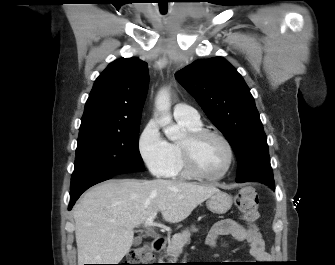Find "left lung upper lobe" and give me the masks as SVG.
<instances>
[{
  "label": "left lung upper lobe",
  "instance_id": "1",
  "mask_svg": "<svg viewBox=\"0 0 335 265\" xmlns=\"http://www.w3.org/2000/svg\"><path fill=\"white\" fill-rule=\"evenodd\" d=\"M176 79L194 96L211 122L232 146L238 182H274L267 137L248 86L222 57L196 61Z\"/></svg>",
  "mask_w": 335,
  "mask_h": 265
}]
</instances>
